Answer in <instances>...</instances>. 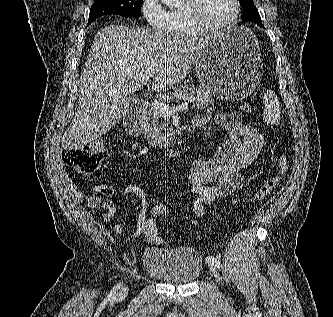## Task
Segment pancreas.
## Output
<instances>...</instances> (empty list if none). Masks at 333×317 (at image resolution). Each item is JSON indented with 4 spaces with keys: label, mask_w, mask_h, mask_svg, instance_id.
Here are the masks:
<instances>
[{
    "label": "pancreas",
    "mask_w": 333,
    "mask_h": 317,
    "mask_svg": "<svg viewBox=\"0 0 333 317\" xmlns=\"http://www.w3.org/2000/svg\"><path fill=\"white\" fill-rule=\"evenodd\" d=\"M177 95H183L186 97H195L193 106L197 109H203L214 104V99L210 97V94L194 86L182 85L175 87L174 91L170 95H163L160 97L158 103L151 105V109L148 111V121L150 122L144 129V134L147 139H151L154 145L162 146L168 144L175 137L172 127L168 126L166 121H162L163 114L161 112V105H168L170 101Z\"/></svg>",
    "instance_id": "1"
}]
</instances>
